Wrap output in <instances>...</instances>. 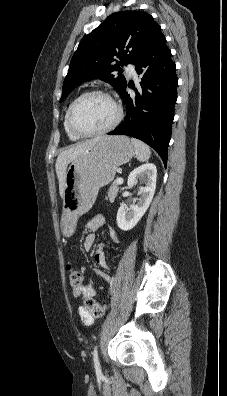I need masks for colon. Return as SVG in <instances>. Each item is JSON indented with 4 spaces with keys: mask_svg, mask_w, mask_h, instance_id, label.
Wrapping results in <instances>:
<instances>
[{
    "mask_svg": "<svg viewBox=\"0 0 227 396\" xmlns=\"http://www.w3.org/2000/svg\"><path fill=\"white\" fill-rule=\"evenodd\" d=\"M67 271L69 274L70 284L73 287V289L76 291V294H78L77 291L83 284V276L78 270L74 269L71 265L67 266ZM83 306L94 317H97V318L101 317L106 311L105 305H101V304L97 303L92 298H86L83 301Z\"/></svg>",
    "mask_w": 227,
    "mask_h": 396,
    "instance_id": "obj_1",
    "label": "colon"
}]
</instances>
